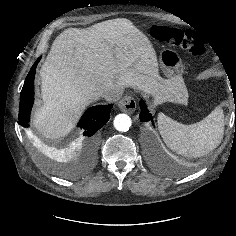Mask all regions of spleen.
Listing matches in <instances>:
<instances>
[{
  "label": "spleen",
  "mask_w": 236,
  "mask_h": 236,
  "mask_svg": "<svg viewBox=\"0 0 236 236\" xmlns=\"http://www.w3.org/2000/svg\"><path fill=\"white\" fill-rule=\"evenodd\" d=\"M158 129L165 144L177 154L200 157L216 149L223 139L224 114L216 107L203 120L184 125L164 113L157 118Z\"/></svg>",
  "instance_id": "3e777b00"
}]
</instances>
